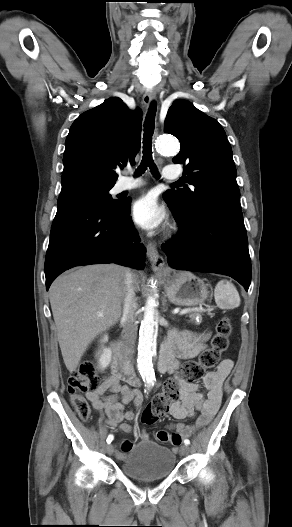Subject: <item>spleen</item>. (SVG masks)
<instances>
[{
  "label": "spleen",
  "mask_w": 292,
  "mask_h": 527,
  "mask_svg": "<svg viewBox=\"0 0 292 527\" xmlns=\"http://www.w3.org/2000/svg\"><path fill=\"white\" fill-rule=\"evenodd\" d=\"M214 298L216 304L223 309H234L240 305V296L236 287L227 280H221L215 287Z\"/></svg>",
  "instance_id": "1"
}]
</instances>
